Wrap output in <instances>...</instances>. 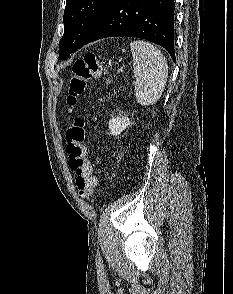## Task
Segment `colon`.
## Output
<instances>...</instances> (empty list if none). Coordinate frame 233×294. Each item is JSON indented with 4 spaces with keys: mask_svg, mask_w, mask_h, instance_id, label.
I'll use <instances>...</instances> for the list:
<instances>
[{
    "mask_svg": "<svg viewBox=\"0 0 233 294\" xmlns=\"http://www.w3.org/2000/svg\"><path fill=\"white\" fill-rule=\"evenodd\" d=\"M104 67L93 52L85 53L72 66L69 81L67 103L74 107L80 95L85 91L88 83L104 74ZM67 152L70 168L76 174V183L80 197L90 200L93 196L97 178L93 173V166L88 157L86 147V128L83 118H76L68 127Z\"/></svg>",
    "mask_w": 233,
    "mask_h": 294,
    "instance_id": "1",
    "label": "colon"
}]
</instances>
